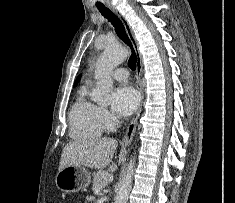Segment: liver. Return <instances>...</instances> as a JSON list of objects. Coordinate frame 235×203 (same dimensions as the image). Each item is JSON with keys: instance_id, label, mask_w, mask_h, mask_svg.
<instances>
[{"instance_id": "liver-1", "label": "liver", "mask_w": 235, "mask_h": 203, "mask_svg": "<svg viewBox=\"0 0 235 203\" xmlns=\"http://www.w3.org/2000/svg\"><path fill=\"white\" fill-rule=\"evenodd\" d=\"M117 148V141L113 138L93 137L69 142L63 149L59 164V171L71 165L85 166L94 169L106 168ZM125 151L122 149L119 163ZM117 165L113 164L110 171L114 172Z\"/></svg>"}]
</instances>
